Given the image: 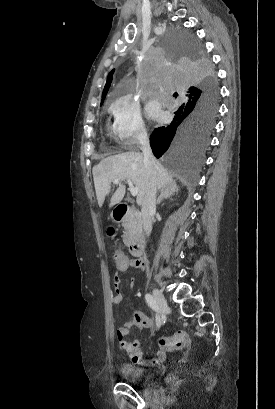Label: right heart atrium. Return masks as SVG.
I'll return each mask as SVG.
<instances>
[{"instance_id":"right-heart-atrium-1","label":"right heart atrium","mask_w":275,"mask_h":409,"mask_svg":"<svg viewBox=\"0 0 275 409\" xmlns=\"http://www.w3.org/2000/svg\"><path fill=\"white\" fill-rule=\"evenodd\" d=\"M113 115L120 143L131 145V143H143L147 140L148 127L137 105L122 99L114 106Z\"/></svg>"}]
</instances>
